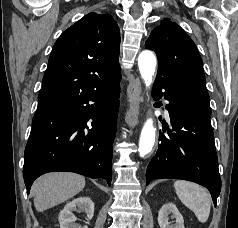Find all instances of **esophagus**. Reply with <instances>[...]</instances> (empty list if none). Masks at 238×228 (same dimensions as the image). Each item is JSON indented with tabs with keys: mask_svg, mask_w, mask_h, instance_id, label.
Returning <instances> with one entry per match:
<instances>
[{
	"mask_svg": "<svg viewBox=\"0 0 238 228\" xmlns=\"http://www.w3.org/2000/svg\"><path fill=\"white\" fill-rule=\"evenodd\" d=\"M141 81L139 77L129 82L127 87L128 110L125 115V121L130 127H135L139 122V110L141 102Z\"/></svg>",
	"mask_w": 238,
	"mask_h": 228,
	"instance_id": "esophagus-1",
	"label": "esophagus"
}]
</instances>
